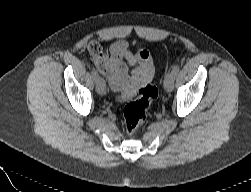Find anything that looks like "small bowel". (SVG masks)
<instances>
[{
  "label": "small bowel",
  "mask_w": 251,
  "mask_h": 192,
  "mask_svg": "<svg viewBox=\"0 0 251 192\" xmlns=\"http://www.w3.org/2000/svg\"><path fill=\"white\" fill-rule=\"evenodd\" d=\"M88 51L99 73L108 79L111 88L121 93L124 99L131 97L137 88L153 78V63L146 49L140 48L132 53L126 41L118 40L107 52L99 43L92 41ZM128 66L132 67L131 71Z\"/></svg>",
  "instance_id": "obj_1"
}]
</instances>
